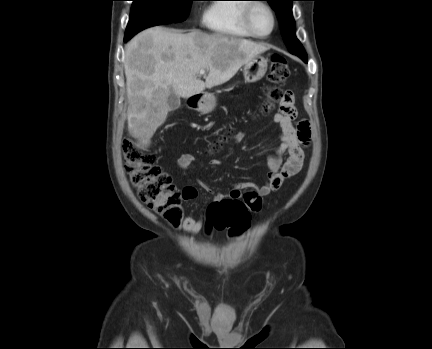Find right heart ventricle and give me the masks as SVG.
<instances>
[{
	"mask_svg": "<svg viewBox=\"0 0 432 349\" xmlns=\"http://www.w3.org/2000/svg\"><path fill=\"white\" fill-rule=\"evenodd\" d=\"M223 1H248V0H214L205 11L203 21L211 32L229 38L252 37L244 28L242 14L246 3H222Z\"/></svg>",
	"mask_w": 432,
	"mask_h": 349,
	"instance_id": "e07e8e85",
	"label": "right heart ventricle"
}]
</instances>
